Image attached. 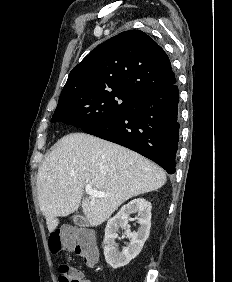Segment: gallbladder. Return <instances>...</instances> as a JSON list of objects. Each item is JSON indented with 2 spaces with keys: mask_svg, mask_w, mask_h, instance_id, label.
<instances>
[{
  "mask_svg": "<svg viewBox=\"0 0 232 282\" xmlns=\"http://www.w3.org/2000/svg\"><path fill=\"white\" fill-rule=\"evenodd\" d=\"M73 222L76 225H84L86 223V219L79 213H76L72 216Z\"/></svg>",
  "mask_w": 232,
  "mask_h": 282,
  "instance_id": "obj_1",
  "label": "gallbladder"
}]
</instances>
